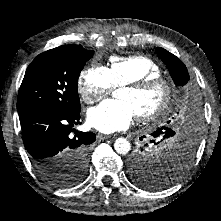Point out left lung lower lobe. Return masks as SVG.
Returning a JSON list of instances; mask_svg holds the SVG:
<instances>
[{
  "label": "left lung lower lobe",
  "mask_w": 221,
  "mask_h": 221,
  "mask_svg": "<svg viewBox=\"0 0 221 221\" xmlns=\"http://www.w3.org/2000/svg\"><path fill=\"white\" fill-rule=\"evenodd\" d=\"M200 121L198 120V118L191 120V123L189 124V130L190 133L192 135L194 134H198L200 132ZM175 134V132L168 128V127H161L158 129V134L159 136H163V137H171ZM194 149H195V141H191L187 144H185V146L183 147V149L180 151L182 153V157L185 161H189L191 159V157L194 154ZM130 165V162H129ZM180 176H182V174H180ZM179 176V177H180Z\"/></svg>",
  "instance_id": "obj_1"
}]
</instances>
